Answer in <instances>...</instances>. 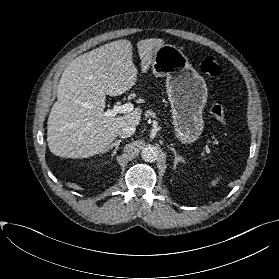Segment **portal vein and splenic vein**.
I'll list each match as a JSON object with an SVG mask.
<instances>
[{
	"label": "portal vein and splenic vein",
	"instance_id": "obj_1",
	"mask_svg": "<svg viewBox=\"0 0 279 279\" xmlns=\"http://www.w3.org/2000/svg\"><path fill=\"white\" fill-rule=\"evenodd\" d=\"M134 110V105L131 102L125 103L123 105L114 104L113 109L107 110L105 116H116L117 114H126L131 113Z\"/></svg>",
	"mask_w": 279,
	"mask_h": 279
}]
</instances>
